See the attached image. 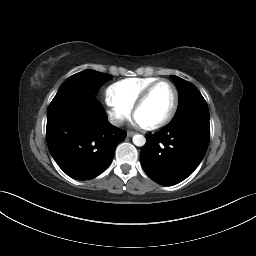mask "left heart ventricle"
Masks as SVG:
<instances>
[{"instance_id":"b2bd125f","label":"left heart ventricle","mask_w":256,"mask_h":256,"mask_svg":"<svg viewBox=\"0 0 256 256\" xmlns=\"http://www.w3.org/2000/svg\"><path fill=\"white\" fill-rule=\"evenodd\" d=\"M174 100L170 85L162 83L150 94L147 101L138 109L137 117L143 125H150L163 119L169 112Z\"/></svg>"}]
</instances>
